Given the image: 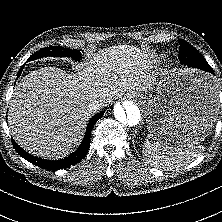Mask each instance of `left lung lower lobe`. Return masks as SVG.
Segmentation results:
<instances>
[{
  "label": "left lung lower lobe",
  "instance_id": "1",
  "mask_svg": "<svg viewBox=\"0 0 222 222\" xmlns=\"http://www.w3.org/2000/svg\"><path fill=\"white\" fill-rule=\"evenodd\" d=\"M182 64H184V63H182ZM185 65L201 69V67H200L199 64H196V63H194V62L191 61V60H186V61H185ZM204 71H207V72H209V73L214 74V72H213L212 69H207V70H204Z\"/></svg>",
  "mask_w": 222,
  "mask_h": 222
}]
</instances>
